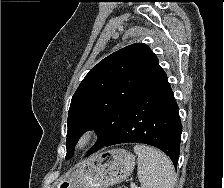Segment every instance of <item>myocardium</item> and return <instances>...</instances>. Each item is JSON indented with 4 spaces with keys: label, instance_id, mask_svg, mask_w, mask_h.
Returning <instances> with one entry per match:
<instances>
[{
    "label": "myocardium",
    "instance_id": "f54148a6",
    "mask_svg": "<svg viewBox=\"0 0 224 188\" xmlns=\"http://www.w3.org/2000/svg\"><path fill=\"white\" fill-rule=\"evenodd\" d=\"M97 138V131L94 128H87L80 133L75 142L76 151H84L90 147Z\"/></svg>",
    "mask_w": 224,
    "mask_h": 188
}]
</instances>
